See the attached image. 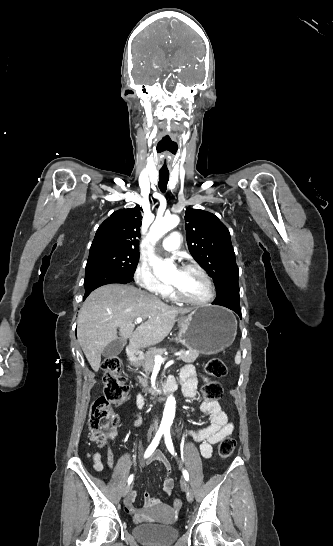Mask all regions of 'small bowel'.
Returning a JSON list of instances; mask_svg holds the SVG:
<instances>
[{
    "mask_svg": "<svg viewBox=\"0 0 333 546\" xmlns=\"http://www.w3.org/2000/svg\"><path fill=\"white\" fill-rule=\"evenodd\" d=\"M200 374L193 366L184 367L179 376V381L182 384L183 393L186 397L192 398L196 394V388L198 385ZM205 382H208L207 377H203ZM137 406L142 409L145 406V399L142 395L137 397ZM201 410L210 416V424L197 429L190 430L188 435L199 443L200 453L204 458H210L213 454V446L219 443L223 438L232 434L234 426L229 420L227 414L222 410L218 401H204L201 405ZM141 418L136 416L133 421L135 427L139 426ZM94 461V468L98 472H103L104 465L101 461V455L94 453L92 455ZM151 462H157L161 464L165 469V479L163 482V490L166 494L170 495L174 488V480L169 476L171 465L167 457L160 451H156L150 458ZM107 465L110 469L114 468V454L109 451L107 454ZM136 494L131 491L125 500V511L133 515L135 523L151 522L154 515L159 512H169L172 510L164 504L160 499L152 497L150 493L146 492L144 495L145 508H135L133 503Z\"/></svg>",
    "mask_w": 333,
    "mask_h": 546,
    "instance_id": "1",
    "label": "small bowel"
}]
</instances>
